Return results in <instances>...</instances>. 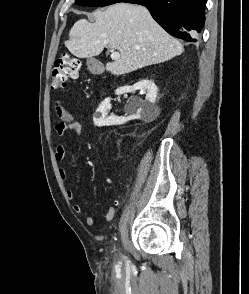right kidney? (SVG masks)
Returning a JSON list of instances; mask_svg holds the SVG:
<instances>
[{"label": "right kidney", "mask_w": 249, "mask_h": 294, "mask_svg": "<svg viewBox=\"0 0 249 294\" xmlns=\"http://www.w3.org/2000/svg\"><path fill=\"white\" fill-rule=\"evenodd\" d=\"M137 90H146L145 100L134 99L131 102V109L127 117H118L115 115L107 116L110 109V98L104 99L99 105L96 113L93 116L94 124L97 127L121 125L127 121L134 119H142L146 122H151L159 115V107L155 105L157 96V87L153 81L143 79L135 83L133 86H124L116 89V95L123 93H134Z\"/></svg>", "instance_id": "obj_1"}]
</instances>
